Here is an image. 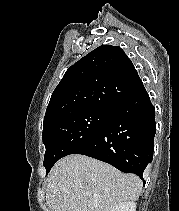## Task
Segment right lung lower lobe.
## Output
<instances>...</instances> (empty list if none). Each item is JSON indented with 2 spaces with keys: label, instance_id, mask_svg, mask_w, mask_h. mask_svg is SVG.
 Here are the masks:
<instances>
[{
  "label": "right lung lower lobe",
  "instance_id": "98d812e1",
  "mask_svg": "<svg viewBox=\"0 0 179 211\" xmlns=\"http://www.w3.org/2000/svg\"><path fill=\"white\" fill-rule=\"evenodd\" d=\"M156 133L155 108L142 85L117 104L100 132L72 154L107 162L122 172L138 175L152 162Z\"/></svg>",
  "mask_w": 179,
  "mask_h": 211
}]
</instances>
